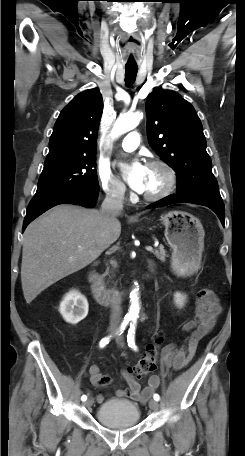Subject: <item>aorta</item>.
Segmentation results:
<instances>
[{
	"mask_svg": "<svg viewBox=\"0 0 245 456\" xmlns=\"http://www.w3.org/2000/svg\"><path fill=\"white\" fill-rule=\"evenodd\" d=\"M142 116L143 115L139 112L121 115L116 120V122L111 130L110 137L112 139H117L120 135L134 129L139 124ZM130 303H131V305H130L129 311L127 313V317L131 318V319H135V318H137V316L139 314V310H140L138 294H137L136 289L130 293Z\"/></svg>",
	"mask_w": 245,
	"mask_h": 456,
	"instance_id": "1",
	"label": "aorta"
}]
</instances>
